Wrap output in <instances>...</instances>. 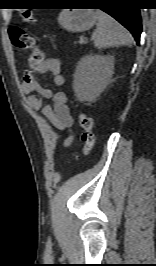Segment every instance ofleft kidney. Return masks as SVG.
I'll use <instances>...</instances> for the list:
<instances>
[{
  "label": "left kidney",
  "mask_w": 156,
  "mask_h": 266,
  "mask_svg": "<svg viewBox=\"0 0 156 266\" xmlns=\"http://www.w3.org/2000/svg\"><path fill=\"white\" fill-rule=\"evenodd\" d=\"M114 57L86 55L77 64L73 90L80 102H93L111 81Z\"/></svg>",
  "instance_id": "1"
}]
</instances>
